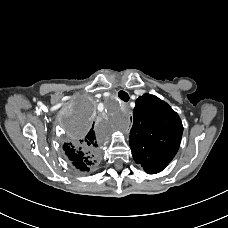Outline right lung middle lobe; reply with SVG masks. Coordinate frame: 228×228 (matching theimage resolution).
Returning a JSON list of instances; mask_svg holds the SVG:
<instances>
[{
    "label": "right lung middle lobe",
    "mask_w": 228,
    "mask_h": 228,
    "mask_svg": "<svg viewBox=\"0 0 228 228\" xmlns=\"http://www.w3.org/2000/svg\"><path fill=\"white\" fill-rule=\"evenodd\" d=\"M77 115L79 117L80 128L73 131L72 136L75 138L81 137L92 123H94V115L87 102H80Z\"/></svg>",
    "instance_id": "right-lung-middle-lobe-1"
}]
</instances>
